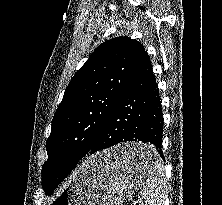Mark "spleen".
Returning a JSON list of instances; mask_svg holds the SVG:
<instances>
[{
	"label": "spleen",
	"instance_id": "3e777b00",
	"mask_svg": "<svg viewBox=\"0 0 222 205\" xmlns=\"http://www.w3.org/2000/svg\"><path fill=\"white\" fill-rule=\"evenodd\" d=\"M140 196V205H164V166L157 157L151 163L149 175L140 190Z\"/></svg>",
	"mask_w": 222,
	"mask_h": 205
}]
</instances>
